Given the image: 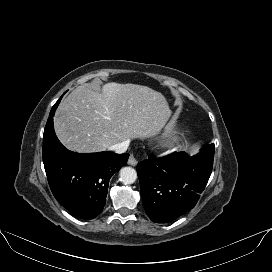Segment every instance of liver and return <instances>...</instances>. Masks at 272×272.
I'll return each instance as SVG.
<instances>
[{"label":"liver","mask_w":272,"mask_h":272,"mask_svg":"<svg viewBox=\"0 0 272 272\" xmlns=\"http://www.w3.org/2000/svg\"><path fill=\"white\" fill-rule=\"evenodd\" d=\"M171 114L166 98L147 86L111 82L97 92L82 85L61 101L54 128L67 149L93 153L155 136Z\"/></svg>","instance_id":"liver-1"}]
</instances>
